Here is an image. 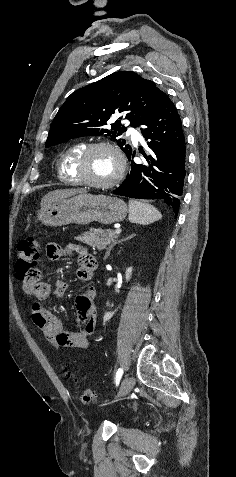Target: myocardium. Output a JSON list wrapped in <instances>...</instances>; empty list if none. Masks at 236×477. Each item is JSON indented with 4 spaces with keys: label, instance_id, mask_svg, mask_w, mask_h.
<instances>
[{
    "label": "myocardium",
    "instance_id": "myocardium-1",
    "mask_svg": "<svg viewBox=\"0 0 236 477\" xmlns=\"http://www.w3.org/2000/svg\"><path fill=\"white\" fill-rule=\"evenodd\" d=\"M98 148H105L113 152L118 163V169L115 176L112 179L105 182H95V181L87 179L84 175V166H85V162L88 155L93 150ZM125 168H126V162L121 151L113 144L108 142H103V141L94 142V143L86 145L77 156L76 162H75V173L80 183L88 185L93 188H98V189H107L116 185L123 178L125 173Z\"/></svg>",
    "mask_w": 236,
    "mask_h": 477
}]
</instances>
